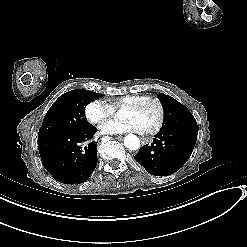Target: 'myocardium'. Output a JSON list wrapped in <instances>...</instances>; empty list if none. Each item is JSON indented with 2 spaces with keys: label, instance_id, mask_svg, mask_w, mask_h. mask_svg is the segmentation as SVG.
I'll return each mask as SVG.
<instances>
[{
  "label": "myocardium",
  "instance_id": "myocardium-1",
  "mask_svg": "<svg viewBox=\"0 0 247 247\" xmlns=\"http://www.w3.org/2000/svg\"><path fill=\"white\" fill-rule=\"evenodd\" d=\"M155 102L158 107H159V118L157 125L155 126L154 129L146 132L148 135H156L158 134L165 122V117H166V108L164 102L157 96H142L139 99L135 100L133 103L126 105L125 107L127 109H132V110H138L140 109L146 102Z\"/></svg>",
  "mask_w": 247,
  "mask_h": 247
}]
</instances>
